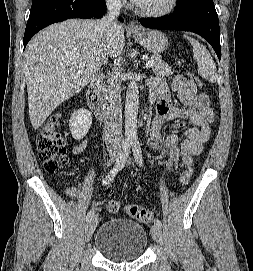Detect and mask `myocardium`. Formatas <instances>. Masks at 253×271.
<instances>
[{"label": "myocardium", "instance_id": "obj_1", "mask_svg": "<svg viewBox=\"0 0 253 271\" xmlns=\"http://www.w3.org/2000/svg\"><path fill=\"white\" fill-rule=\"evenodd\" d=\"M179 0H169L167 5L160 9H144L135 3V10L138 14L150 17L160 18L171 14L177 7Z\"/></svg>", "mask_w": 253, "mask_h": 271}]
</instances>
